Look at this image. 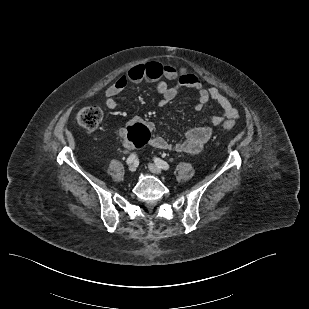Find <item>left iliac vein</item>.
<instances>
[{
    "label": "left iliac vein",
    "instance_id": "obj_1",
    "mask_svg": "<svg viewBox=\"0 0 309 309\" xmlns=\"http://www.w3.org/2000/svg\"><path fill=\"white\" fill-rule=\"evenodd\" d=\"M148 168L149 170L153 173V174H156V175H160L162 173V170L155 164L153 163H150L148 165Z\"/></svg>",
    "mask_w": 309,
    "mask_h": 309
}]
</instances>
